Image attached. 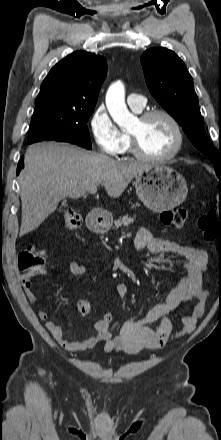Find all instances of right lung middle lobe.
Segmentation results:
<instances>
[{
  "label": "right lung middle lobe",
  "mask_w": 221,
  "mask_h": 440,
  "mask_svg": "<svg viewBox=\"0 0 221 440\" xmlns=\"http://www.w3.org/2000/svg\"><path fill=\"white\" fill-rule=\"evenodd\" d=\"M94 108L53 101L36 103L30 123L28 143L55 140L91 149L87 121Z\"/></svg>",
  "instance_id": "1"
}]
</instances>
